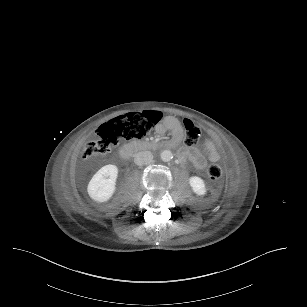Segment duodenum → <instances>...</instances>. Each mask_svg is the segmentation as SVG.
I'll return each mask as SVG.
<instances>
[{"label": "duodenum", "instance_id": "1", "mask_svg": "<svg viewBox=\"0 0 307 307\" xmlns=\"http://www.w3.org/2000/svg\"><path fill=\"white\" fill-rule=\"evenodd\" d=\"M157 146H163V144L157 142V141H134V142H129L125 144L124 146L121 147L120 149V156L122 158H126L132 153L138 152V151H144L147 149H154ZM165 148H173L169 142L167 145L164 146Z\"/></svg>", "mask_w": 307, "mask_h": 307}]
</instances>
